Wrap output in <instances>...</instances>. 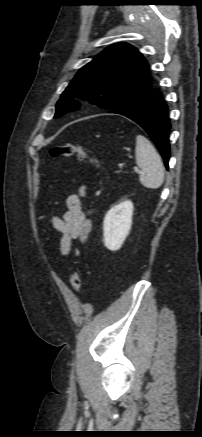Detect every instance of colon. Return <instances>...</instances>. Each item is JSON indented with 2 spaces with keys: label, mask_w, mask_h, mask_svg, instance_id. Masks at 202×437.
I'll return each instance as SVG.
<instances>
[{
  "label": "colon",
  "mask_w": 202,
  "mask_h": 437,
  "mask_svg": "<svg viewBox=\"0 0 202 437\" xmlns=\"http://www.w3.org/2000/svg\"><path fill=\"white\" fill-rule=\"evenodd\" d=\"M50 155L61 157H77L80 160L89 161L97 168L101 167V162L99 159L82 146L72 144L54 146L50 150ZM70 283L74 291L78 292L80 290L82 279L78 270H75L72 273L70 277Z\"/></svg>",
  "instance_id": "obj_1"
}]
</instances>
